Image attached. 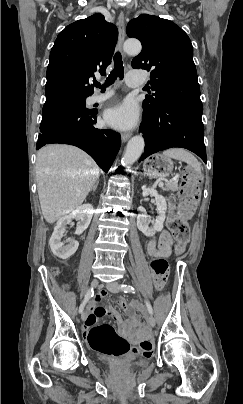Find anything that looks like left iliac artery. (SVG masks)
Wrapping results in <instances>:
<instances>
[{
    "label": "left iliac artery",
    "instance_id": "obj_1",
    "mask_svg": "<svg viewBox=\"0 0 243 404\" xmlns=\"http://www.w3.org/2000/svg\"><path fill=\"white\" fill-rule=\"evenodd\" d=\"M119 289H121L125 293H127V292L135 293L136 292L134 287H132L130 285H126V284L119 285ZM145 304H146V307H147L149 313L153 314V308H152L151 304L148 301H145Z\"/></svg>",
    "mask_w": 243,
    "mask_h": 404
}]
</instances>
